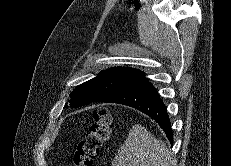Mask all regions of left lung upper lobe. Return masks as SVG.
<instances>
[{"instance_id":"1","label":"left lung upper lobe","mask_w":231,"mask_h":166,"mask_svg":"<svg viewBox=\"0 0 231 166\" xmlns=\"http://www.w3.org/2000/svg\"><path fill=\"white\" fill-rule=\"evenodd\" d=\"M140 71L129 67L103 70L93 79L76 87L70 94V106L80 107L94 102L137 75Z\"/></svg>"}]
</instances>
